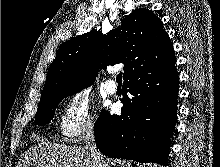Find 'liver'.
I'll return each mask as SVG.
<instances>
[{"instance_id":"obj_1","label":"liver","mask_w":220,"mask_h":167,"mask_svg":"<svg viewBox=\"0 0 220 167\" xmlns=\"http://www.w3.org/2000/svg\"><path fill=\"white\" fill-rule=\"evenodd\" d=\"M16 167H95L90 152L83 146L38 142L19 160Z\"/></svg>"}]
</instances>
